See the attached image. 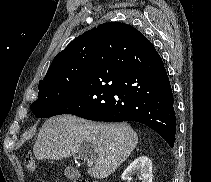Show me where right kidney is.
<instances>
[{
  "instance_id": "right-kidney-1",
  "label": "right kidney",
  "mask_w": 211,
  "mask_h": 182,
  "mask_svg": "<svg viewBox=\"0 0 211 182\" xmlns=\"http://www.w3.org/2000/svg\"><path fill=\"white\" fill-rule=\"evenodd\" d=\"M133 173L141 175L142 182H152V162L147 156H140L131 163L122 174L126 181Z\"/></svg>"
}]
</instances>
